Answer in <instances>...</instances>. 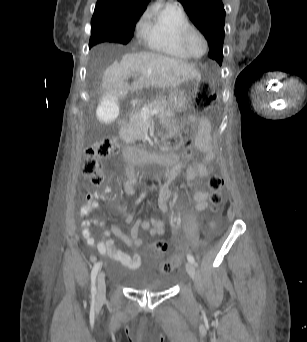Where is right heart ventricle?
<instances>
[{"label":"right heart ventricle","mask_w":307,"mask_h":342,"mask_svg":"<svg viewBox=\"0 0 307 342\" xmlns=\"http://www.w3.org/2000/svg\"><path fill=\"white\" fill-rule=\"evenodd\" d=\"M191 21L189 12L181 7H172L162 14L161 29L156 34L133 38V50L139 53H151L178 61L190 58L180 46V34Z\"/></svg>","instance_id":"1"}]
</instances>
